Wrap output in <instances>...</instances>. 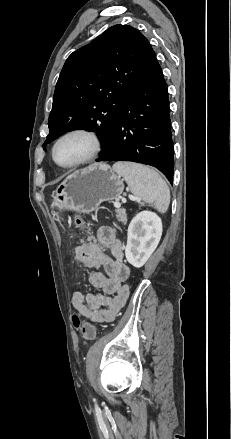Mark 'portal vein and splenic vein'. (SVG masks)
I'll return each instance as SVG.
<instances>
[{"mask_svg": "<svg viewBox=\"0 0 231 439\" xmlns=\"http://www.w3.org/2000/svg\"><path fill=\"white\" fill-rule=\"evenodd\" d=\"M114 206L116 207V208H120V203H114Z\"/></svg>", "mask_w": 231, "mask_h": 439, "instance_id": "obj_1", "label": "portal vein and splenic vein"}]
</instances>
